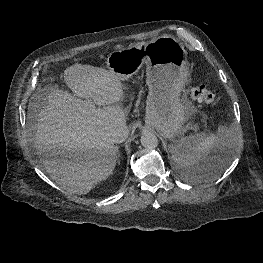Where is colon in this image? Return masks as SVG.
<instances>
[{
	"label": "colon",
	"instance_id": "colon-1",
	"mask_svg": "<svg viewBox=\"0 0 263 263\" xmlns=\"http://www.w3.org/2000/svg\"><path fill=\"white\" fill-rule=\"evenodd\" d=\"M190 95L195 101L204 104H212L215 101L214 92L205 84L194 86L190 91Z\"/></svg>",
	"mask_w": 263,
	"mask_h": 263
}]
</instances>
